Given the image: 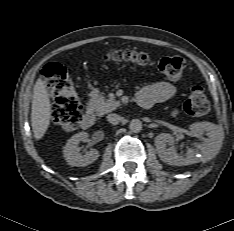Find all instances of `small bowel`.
<instances>
[{
	"label": "small bowel",
	"mask_w": 234,
	"mask_h": 231,
	"mask_svg": "<svg viewBox=\"0 0 234 231\" xmlns=\"http://www.w3.org/2000/svg\"><path fill=\"white\" fill-rule=\"evenodd\" d=\"M175 93L176 88L172 84L160 81L143 87L137 95V100L141 103L142 107H151L156 103L170 100L174 97ZM176 113L177 111L174 110L173 115Z\"/></svg>",
	"instance_id": "c3829d8e"
}]
</instances>
